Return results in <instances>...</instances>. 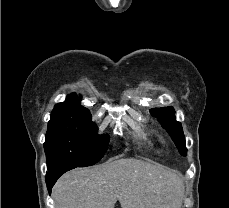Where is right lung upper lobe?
<instances>
[{
  "mask_svg": "<svg viewBox=\"0 0 229 208\" xmlns=\"http://www.w3.org/2000/svg\"><path fill=\"white\" fill-rule=\"evenodd\" d=\"M78 101V96L75 93H72L67 96L65 102L56 104L53 110L70 112L76 115L91 118L89 110L81 106Z\"/></svg>",
  "mask_w": 229,
  "mask_h": 208,
  "instance_id": "right-lung-upper-lobe-1",
  "label": "right lung upper lobe"
}]
</instances>
